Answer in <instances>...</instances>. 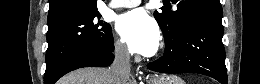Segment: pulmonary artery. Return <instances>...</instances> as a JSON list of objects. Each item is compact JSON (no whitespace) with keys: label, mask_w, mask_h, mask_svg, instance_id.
I'll list each match as a JSON object with an SVG mask.
<instances>
[{"label":"pulmonary artery","mask_w":260,"mask_h":84,"mask_svg":"<svg viewBox=\"0 0 260 84\" xmlns=\"http://www.w3.org/2000/svg\"><path fill=\"white\" fill-rule=\"evenodd\" d=\"M140 4L139 0H114L110 6L113 8H130Z\"/></svg>","instance_id":"1"}]
</instances>
